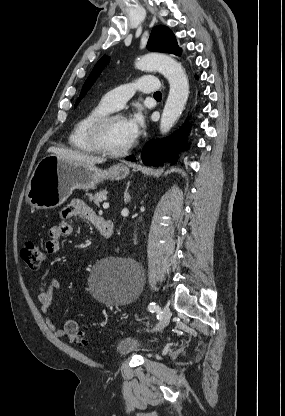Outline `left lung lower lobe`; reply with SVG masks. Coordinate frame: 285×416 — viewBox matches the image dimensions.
I'll return each mask as SVG.
<instances>
[{"label": "left lung lower lobe", "instance_id": "obj_1", "mask_svg": "<svg viewBox=\"0 0 285 416\" xmlns=\"http://www.w3.org/2000/svg\"><path fill=\"white\" fill-rule=\"evenodd\" d=\"M186 132V124L181 128L178 135L173 136L164 141H150L142 150L141 160L145 165L158 166L164 162H175L176 152L184 149L186 143L184 135ZM126 160L136 161L134 156L127 157Z\"/></svg>", "mask_w": 285, "mask_h": 416}]
</instances>
